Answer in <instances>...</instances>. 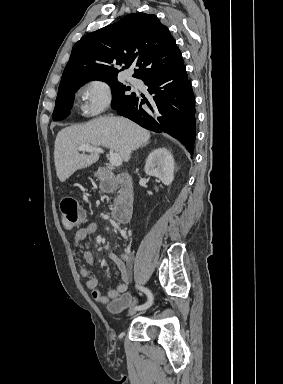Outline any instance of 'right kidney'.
I'll return each instance as SVG.
<instances>
[{
	"mask_svg": "<svg viewBox=\"0 0 283 384\" xmlns=\"http://www.w3.org/2000/svg\"><path fill=\"white\" fill-rule=\"evenodd\" d=\"M147 176L159 178L162 184L170 186L174 180V158L166 148H157L149 154L145 166Z\"/></svg>",
	"mask_w": 283,
	"mask_h": 384,
	"instance_id": "right-kidney-1",
	"label": "right kidney"
}]
</instances>
